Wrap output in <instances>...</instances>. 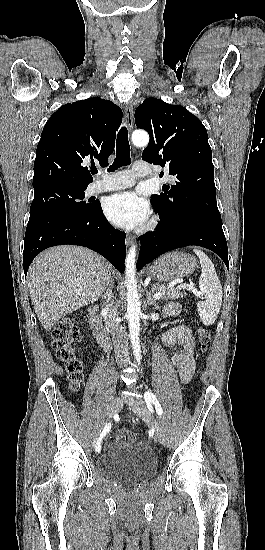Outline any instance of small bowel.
Instances as JSON below:
<instances>
[{
    "instance_id": "obj_1",
    "label": "small bowel",
    "mask_w": 265,
    "mask_h": 550,
    "mask_svg": "<svg viewBox=\"0 0 265 550\" xmlns=\"http://www.w3.org/2000/svg\"><path fill=\"white\" fill-rule=\"evenodd\" d=\"M179 311L180 307L176 303L168 304L164 309L165 315L168 316H176ZM163 341L167 345H179L181 347L179 352L172 355V363L178 370L181 382H189L195 369V343L191 331L184 325H178L164 333Z\"/></svg>"
}]
</instances>
